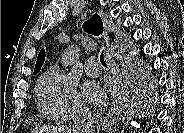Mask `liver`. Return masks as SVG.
Instances as JSON below:
<instances>
[{"mask_svg": "<svg viewBox=\"0 0 184 133\" xmlns=\"http://www.w3.org/2000/svg\"><path fill=\"white\" fill-rule=\"evenodd\" d=\"M34 133H76L73 127H40Z\"/></svg>", "mask_w": 184, "mask_h": 133, "instance_id": "1", "label": "liver"}]
</instances>
